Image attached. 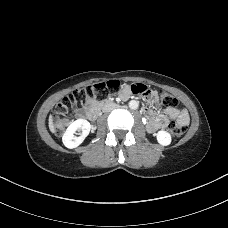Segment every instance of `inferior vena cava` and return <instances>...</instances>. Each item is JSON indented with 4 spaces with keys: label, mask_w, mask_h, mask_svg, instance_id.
Segmentation results:
<instances>
[{
    "label": "inferior vena cava",
    "mask_w": 228,
    "mask_h": 228,
    "mask_svg": "<svg viewBox=\"0 0 228 228\" xmlns=\"http://www.w3.org/2000/svg\"><path fill=\"white\" fill-rule=\"evenodd\" d=\"M118 105L117 104H109V105H105L103 107V112H110L112 111L113 109L117 108Z\"/></svg>",
    "instance_id": "1"
}]
</instances>
